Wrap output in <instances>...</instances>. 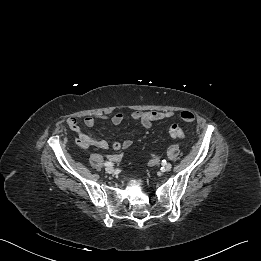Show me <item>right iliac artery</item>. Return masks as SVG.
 Returning a JSON list of instances; mask_svg holds the SVG:
<instances>
[{"mask_svg":"<svg viewBox=\"0 0 261 261\" xmlns=\"http://www.w3.org/2000/svg\"><path fill=\"white\" fill-rule=\"evenodd\" d=\"M104 165H105L106 167H108V166H113V163H111V162H105Z\"/></svg>","mask_w":261,"mask_h":261,"instance_id":"obj_1","label":"right iliac artery"}]
</instances>
